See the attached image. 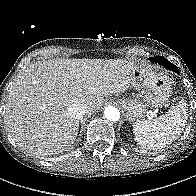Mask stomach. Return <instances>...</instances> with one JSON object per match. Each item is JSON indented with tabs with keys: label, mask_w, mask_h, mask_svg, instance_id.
<instances>
[{
	"label": "stomach",
	"mask_w": 196,
	"mask_h": 196,
	"mask_svg": "<svg viewBox=\"0 0 196 196\" xmlns=\"http://www.w3.org/2000/svg\"><path fill=\"white\" fill-rule=\"evenodd\" d=\"M131 86L136 90L143 89L146 92L143 101L132 97L116 98V102L124 109L129 121L143 118L147 108L163 107L172 93V84L167 76L146 68L140 62H135L133 65Z\"/></svg>",
	"instance_id": "obj_1"
}]
</instances>
